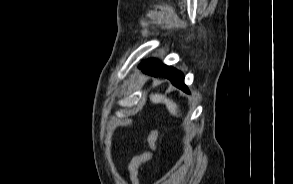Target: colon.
<instances>
[{
	"label": "colon",
	"instance_id": "1",
	"mask_svg": "<svg viewBox=\"0 0 293 184\" xmlns=\"http://www.w3.org/2000/svg\"><path fill=\"white\" fill-rule=\"evenodd\" d=\"M159 130L153 129L148 136L149 149L137 156H135L129 164L130 179L132 184H139V169L142 164L148 162L154 156L157 148V139Z\"/></svg>",
	"mask_w": 293,
	"mask_h": 184
}]
</instances>
